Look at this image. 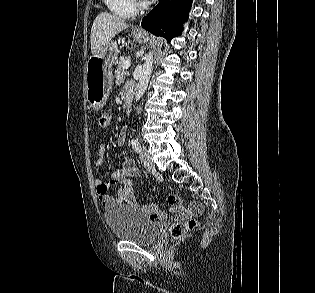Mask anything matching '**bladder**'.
<instances>
[{
	"label": "bladder",
	"mask_w": 315,
	"mask_h": 293,
	"mask_svg": "<svg viewBox=\"0 0 315 293\" xmlns=\"http://www.w3.org/2000/svg\"><path fill=\"white\" fill-rule=\"evenodd\" d=\"M106 223L114 238L148 245L155 242L160 231L145 210L129 204H117L105 211Z\"/></svg>",
	"instance_id": "1"
}]
</instances>
